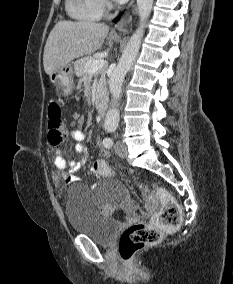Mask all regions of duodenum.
I'll return each mask as SVG.
<instances>
[{
	"instance_id": "1",
	"label": "duodenum",
	"mask_w": 233,
	"mask_h": 284,
	"mask_svg": "<svg viewBox=\"0 0 233 284\" xmlns=\"http://www.w3.org/2000/svg\"><path fill=\"white\" fill-rule=\"evenodd\" d=\"M97 111L99 114H104L106 108H107V101L106 99L102 98L98 101L96 105Z\"/></svg>"
}]
</instances>
